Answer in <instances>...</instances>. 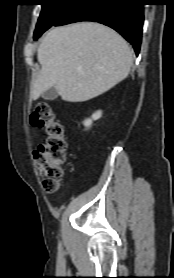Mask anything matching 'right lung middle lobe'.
<instances>
[{
    "label": "right lung middle lobe",
    "instance_id": "obj_1",
    "mask_svg": "<svg viewBox=\"0 0 174 278\" xmlns=\"http://www.w3.org/2000/svg\"><path fill=\"white\" fill-rule=\"evenodd\" d=\"M73 1L74 0H39L42 10L35 29L34 39L49 29Z\"/></svg>",
    "mask_w": 174,
    "mask_h": 278
}]
</instances>
